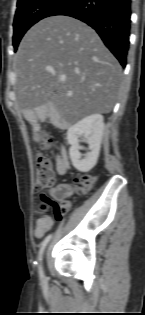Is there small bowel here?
I'll return each instance as SVG.
<instances>
[{
  "mask_svg": "<svg viewBox=\"0 0 145 315\" xmlns=\"http://www.w3.org/2000/svg\"><path fill=\"white\" fill-rule=\"evenodd\" d=\"M56 170L60 175L66 174L68 171V162L66 157V151L62 147L56 155ZM51 196L56 200H63L67 196L72 194V188L67 184H61L56 186L50 191ZM53 224L51 217L47 215L41 216L36 224L34 235L37 238L42 237L46 232H48Z\"/></svg>",
  "mask_w": 145,
  "mask_h": 315,
  "instance_id": "small-bowel-1",
  "label": "small bowel"
}]
</instances>
